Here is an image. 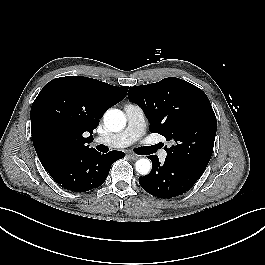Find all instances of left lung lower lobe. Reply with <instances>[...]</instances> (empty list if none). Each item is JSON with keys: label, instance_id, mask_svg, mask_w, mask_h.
Segmentation results:
<instances>
[{"label": "left lung lower lobe", "instance_id": "obj_1", "mask_svg": "<svg viewBox=\"0 0 265 265\" xmlns=\"http://www.w3.org/2000/svg\"><path fill=\"white\" fill-rule=\"evenodd\" d=\"M152 170L149 175L139 178L141 187L149 194L160 198H171L183 194L194 186L202 176L186 166L165 159L160 163L157 155L149 156Z\"/></svg>", "mask_w": 265, "mask_h": 265}]
</instances>
